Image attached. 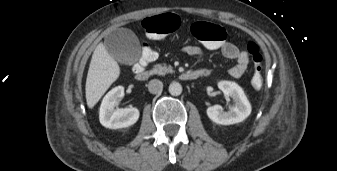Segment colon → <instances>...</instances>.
<instances>
[{
    "mask_svg": "<svg viewBox=\"0 0 337 171\" xmlns=\"http://www.w3.org/2000/svg\"><path fill=\"white\" fill-rule=\"evenodd\" d=\"M142 26L146 34L152 39H159L166 34L176 31L180 26V19L173 14H163L159 16L147 17L142 20ZM192 35L201 41L204 48L210 50H217L224 44L227 37L226 30L216 24L197 21L191 27ZM247 51L253 63V75L251 83L253 87L259 89L264 82L263 77V55L259 46L249 41L247 43ZM142 58L141 64L145 65L156 59L157 50L150 40H145L141 44Z\"/></svg>",
    "mask_w": 337,
    "mask_h": 171,
    "instance_id": "5ec220e1",
    "label": "colon"
}]
</instances>
